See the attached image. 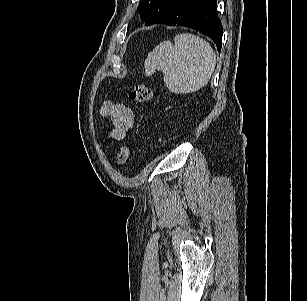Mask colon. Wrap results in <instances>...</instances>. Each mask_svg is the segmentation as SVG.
Instances as JSON below:
<instances>
[{"label":"colon","instance_id":"obj_1","mask_svg":"<svg viewBox=\"0 0 307 301\" xmlns=\"http://www.w3.org/2000/svg\"><path fill=\"white\" fill-rule=\"evenodd\" d=\"M129 97L137 103H147L152 97L151 89L145 83L136 84L129 93ZM130 156V147L123 144L117 155V163L120 165L125 164Z\"/></svg>","mask_w":307,"mask_h":301}]
</instances>
